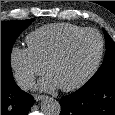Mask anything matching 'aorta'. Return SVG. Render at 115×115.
I'll list each match as a JSON object with an SVG mask.
<instances>
[{
	"instance_id": "1",
	"label": "aorta",
	"mask_w": 115,
	"mask_h": 115,
	"mask_svg": "<svg viewBox=\"0 0 115 115\" xmlns=\"http://www.w3.org/2000/svg\"><path fill=\"white\" fill-rule=\"evenodd\" d=\"M41 110L44 115H59L61 106L57 100L47 97L41 103Z\"/></svg>"
}]
</instances>
